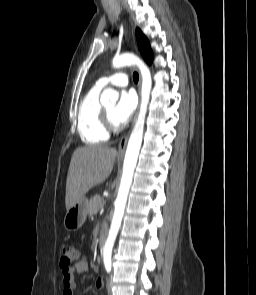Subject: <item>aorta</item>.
Returning a JSON list of instances; mask_svg holds the SVG:
<instances>
[{"mask_svg":"<svg viewBox=\"0 0 256 295\" xmlns=\"http://www.w3.org/2000/svg\"><path fill=\"white\" fill-rule=\"evenodd\" d=\"M114 68L136 65L142 76L141 87V105L137 121L131 132L123 163V172L118 190V195L115 200V210L112 218L109 234L103 248V259L106 262L111 261L113 246L121 226L129 190L132 184L134 170L137 164L139 151L142 144L145 117L147 106L150 99L152 87L151 73L148 67L137 56L130 53H125L115 56L112 61ZM118 92L114 89H105L100 97V102L103 105L115 104L118 100Z\"/></svg>","mask_w":256,"mask_h":295,"instance_id":"1","label":"aorta"}]
</instances>
